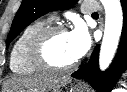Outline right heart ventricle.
Instances as JSON below:
<instances>
[{"instance_id": "1", "label": "right heart ventricle", "mask_w": 127, "mask_h": 92, "mask_svg": "<svg viewBox=\"0 0 127 92\" xmlns=\"http://www.w3.org/2000/svg\"><path fill=\"white\" fill-rule=\"evenodd\" d=\"M48 19H41L29 24L15 41L10 53V70L18 75H31L39 72L29 60L28 47L32 37L42 28L48 26Z\"/></svg>"}]
</instances>
